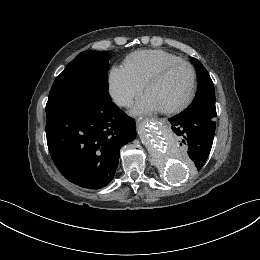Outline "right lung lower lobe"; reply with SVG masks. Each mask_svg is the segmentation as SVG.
<instances>
[{
	"label": "right lung lower lobe",
	"instance_id": "obj_1",
	"mask_svg": "<svg viewBox=\"0 0 260 260\" xmlns=\"http://www.w3.org/2000/svg\"><path fill=\"white\" fill-rule=\"evenodd\" d=\"M50 155L61 174L88 189H100L114 178L120 148L136 135L135 121L108 94L90 102L46 107Z\"/></svg>",
	"mask_w": 260,
	"mask_h": 260
}]
</instances>
